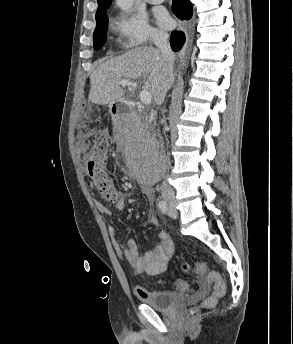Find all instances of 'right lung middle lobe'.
<instances>
[{"mask_svg": "<svg viewBox=\"0 0 293 344\" xmlns=\"http://www.w3.org/2000/svg\"><path fill=\"white\" fill-rule=\"evenodd\" d=\"M109 6L96 13V28L94 30L93 44L94 48L100 49L106 40V31L108 26V18L106 11Z\"/></svg>", "mask_w": 293, "mask_h": 344, "instance_id": "1", "label": "right lung middle lobe"}]
</instances>
